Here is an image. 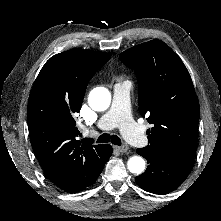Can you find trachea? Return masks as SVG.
<instances>
[{"instance_id": "1", "label": "trachea", "mask_w": 221, "mask_h": 221, "mask_svg": "<svg viewBox=\"0 0 221 221\" xmlns=\"http://www.w3.org/2000/svg\"><path fill=\"white\" fill-rule=\"evenodd\" d=\"M111 142L114 145H121V139L117 135H110L107 133H104L99 136L97 139V143H108Z\"/></svg>"}]
</instances>
